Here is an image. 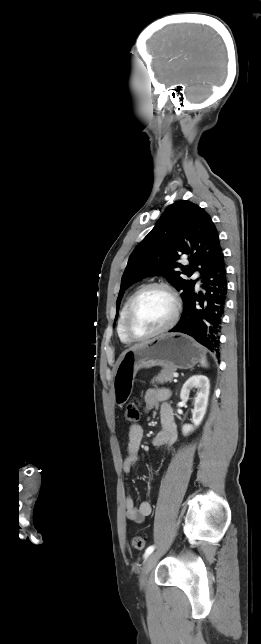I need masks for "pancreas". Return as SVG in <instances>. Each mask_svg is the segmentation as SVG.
<instances>
[{"label": "pancreas", "instance_id": "obj_1", "mask_svg": "<svg viewBox=\"0 0 261 644\" xmlns=\"http://www.w3.org/2000/svg\"><path fill=\"white\" fill-rule=\"evenodd\" d=\"M175 369L170 368V367H164L161 372L153 378L152 383L158 382L160 384H164L165 382H172L173 381V375L175 373Z\"/></svg>", "mask_w": 261, "mask_h": 644}]
</instances>
